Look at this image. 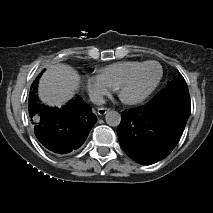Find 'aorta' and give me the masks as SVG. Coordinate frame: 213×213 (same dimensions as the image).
<instances>
[{
    "label": "aorta",
    "instance_id": "1",
    "mask_svg": "<svg viewBox=\"0 0 213 213\" xmlns=\"http://www.w3.org/2000/svg\"><path fill=\"white\" fill-rule=\"evenodd\" d=\"M107 125L117 127L121 122V115L115 110H108L105 115Z\"/></svg>",
    "mask_w": 213,
    "mask_h": 213
}]
</instances>
